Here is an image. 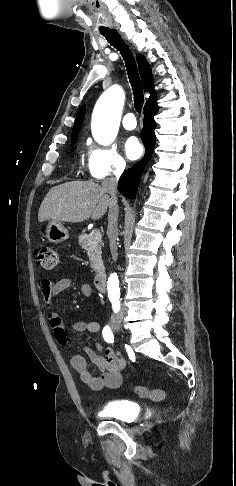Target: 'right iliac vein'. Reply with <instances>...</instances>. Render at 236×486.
Returning <instances> with one entry per match:
<instances>
[{
    "label": "right iliac vein",
    "mask_w": 236,
    "mask_h": 486,
    "mask_svg": "<svg viewBox=\"0 0 236 486\" xmlns=\"http://www.w3.org/2000/svg\"><path fill=\"white\" fill-rule=\"evenodd\" d=\"M112 327L115 329V330H119L120 327H121V320L119 319H113L112 320Z\"/></svg>",
    "instance_id": "obj_1"
}]
</instances>
